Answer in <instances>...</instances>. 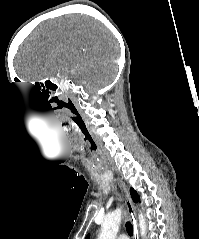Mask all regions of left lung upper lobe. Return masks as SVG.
<instances>
[{
	"mask_svg": "<svg viewBox=\"0 0 199 239\" xmlns=\"http://www.w3.org/2000/svg\"><path fill=\"white\" fill-rule=\"evenodd\" d=\"M130 193H131V197H132L133 201L138 202L139 196H138L137 192L133 188H131Z\"/></svg>",
	"mask_w": 199,
	"mask_h": 239,
	"instance_id": "1",
	"label": "left lung upper lobe"
}]
</instances>
